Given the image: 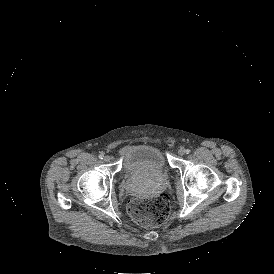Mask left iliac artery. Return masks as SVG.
<instances>
[{
	"label": "left iliac artery",
	"instance_id": "1",
	"mask_svg": "<svg viewBox=\"0 0 274 274\" xmlns=\"http://www.w3.org/2000/svg\"><path fill=\"white\" fill-rule=\"evenodd\" d=\"M185 152H186L187 154H189V153H190V149H186Z\"/></svg>",
	"mask_w": 274,
	"mask_h": 274
}]
</instances>
